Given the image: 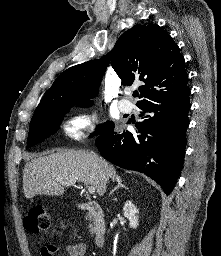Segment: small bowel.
<instances>
[{"label":"small bowel","instance_id":"c3829d8e","mask_svg":"<svg viewBox=\"0 0 221 256\" xmlns=\"http://www.w3.org/2000/svg\"><path fill=\"white\" fill-rule=\"evenodd\" d=\"M65 250L70 256H85L87 248L84 243L76 242L66 245ZM56 251L57 247L49 244L42 248L41 256H54Z\"/></svg>","mask_w":221,"mask_h":256}]
</instances>
